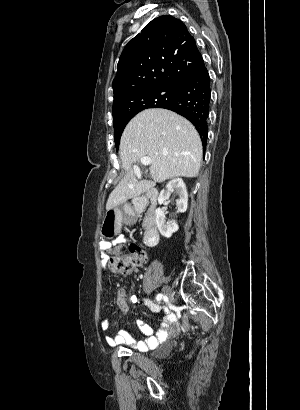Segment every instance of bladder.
<instances>
[{"label": "bladder", "instance_id": "31cf9c89", "mask_svg": "<svg viewBox=\"0 0 300 410\" xmlns=\"http://www.w3.org/2000/svg\"><path fill=\"white\" fill-rule=\"evenodd\" d=\"M172 349H173V344L169 341H165L157 347V349L155 350V353H157L158 356L168 355L169 353L172 352Z\"/></svg>", "mask_w": 300, "mask_h": 410}]
</instances>
